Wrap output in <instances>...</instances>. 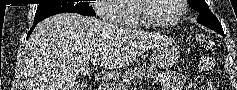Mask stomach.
<instances>
[{
  "label": "stomach",
  "instance_id": "0dacf381",
  "mask_svg": "<svg viewBox=\"0 0 237 90\" xmlns=\"http://www.w3.org/2000/svg\"><path fill=\"white\" fill-rule=\"evenodd\" d=\"M179 58V51L176 48H167L163 51L156 50L155 63L159 67L167 68L174 65Z\"/></svg>",
  "mask_w": 237,
  "mask_h": 90
}]
</instances>
